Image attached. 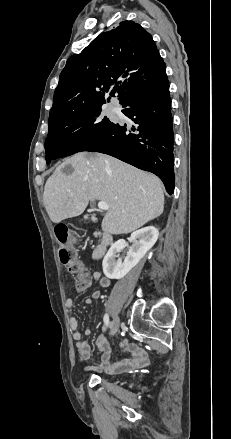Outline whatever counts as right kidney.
<instances>
[{"instance_id": "obj_1", "label": "right kidney", "mask_w": 231, "mask_h": 439, "mask_svg": "<svg viewBox=\"0 0 231 439\" xmlns=\"http://www.w3.org/2000/svg\"><path fill=\"white\" fill-rule=\"evenodd\" d=\"M159 236L158 230L153 226L139 229L131 234L130 246L126 258L122 262L119 253L127 246L125 240L116 241L105 255L102 266L106 277L110 279L123 278L132 268H134L145 254L154 246Z\"/></svg>"}]
</instances>
